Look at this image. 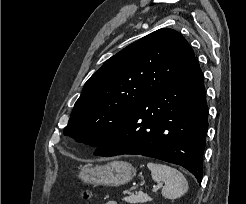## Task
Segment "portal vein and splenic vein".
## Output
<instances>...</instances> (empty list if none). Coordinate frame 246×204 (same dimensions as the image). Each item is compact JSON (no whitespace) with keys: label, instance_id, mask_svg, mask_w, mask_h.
Masks as SVG:
<instances>
[{"label":"portal vein and splenic vein","instance_id":"18ae733b","mask_svg":"<svg viewBox=\"0 0 246 204\" xmlns=\"http://www.w3.org/2000/svg\"><path fill=\"white\" fill-rule=\"evenodd\" d=\"M161 187H162V184H158L157 186H154L152 189V192H156Z\"/></svg>","mask_w":246,"mask_h":204}]
</instances>
